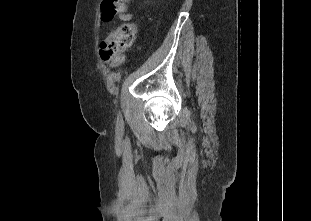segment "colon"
I'll return each mask as SVG.
<instances>
[{
    "mask_svg": "<svg viewBox=\"0 0 311 221\" xmlns=\"http://www.w3.org/2000/svg\"><path fill=\"white\" fill-rule=\"evenodd\" d=\"M120 4H130V0H105L102 15L98 18L99 22H113L114 17H123L124 5ZM137 30L138 21L133 20L122 23L118 28L109 32L101 43V57L109 61L112 66L119 65L123 52L133 44Z\"/></svg>",
    "mask_w": 311,
    "mask_h": 221,
    "instance_id": "1",
    "label": "colon"
}]
</instances>
